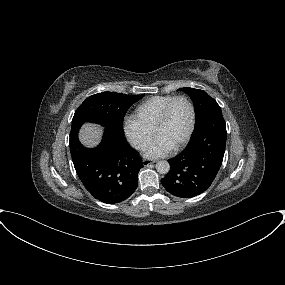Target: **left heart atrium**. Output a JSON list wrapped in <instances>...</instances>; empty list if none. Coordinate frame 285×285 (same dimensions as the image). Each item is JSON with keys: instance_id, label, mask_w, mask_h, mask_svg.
Listing matches in <instances>:
<instances>
[{"instance_id": "39dd6f15", "label": "left heart atrium", "mask_w": 285, "mask_h": 285, "mask_svg": "<svg viewBox=\"0 0 285 285\" xmlns=\"http://www.w3.org/2000/svg\"><path fill=\"white\" fill-rule=\"evenodd\" d=\"M172 149V146L160 137H155L149 148L147 149V156L160 157L167 154Z\"/></svg>"}]
</instances>
